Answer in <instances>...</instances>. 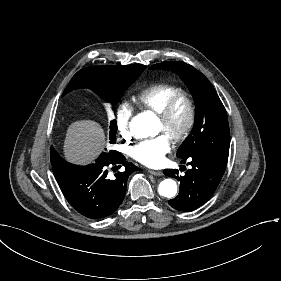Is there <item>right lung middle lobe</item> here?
Masks as SVG:
<instances>
[{
  "label": "right lung middle lobe",
  "mask_w": 281,
  "mask_h": 281,
  "mask_svg": "<svg viewBox=\"0 0 281 281\" xmlns=\"http://www.w3.org/2000/svg\"><path fill=\"white\" fill-rule=\"evenodd\" d=\"M145 68L146 67L144 65H141L137 69L134 78L128 83L116 87H109V88L96 87L93 89V91H95L98 95H100L104 100L111 103H116L122 96L125 89L144 71ZM51 164H52V169H78L82 167L64 161L59 157V155L55 152L53 148L51 149Z\"/></svg>",
  "instance_id": "obj_1"
}]
</instances>
